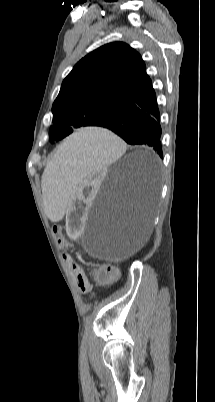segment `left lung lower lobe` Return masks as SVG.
<instances>
[{"label":"left lung lower lobe","mask_w":215,"mask_h":402,"mask_svg":"<svg viewBox=\"0 0 215 402\" xmlns=\"http://www.w3.org/2000/svg\"><path fill=\"white\" fill-rule=\"evenodd\" d=\"M96 126L107 128L128 144L148 145L162 158L160 113L151 79ZM154 194H150L152 197Z\"/></svg>","instance_id":"obj_1"}]
</instances>
